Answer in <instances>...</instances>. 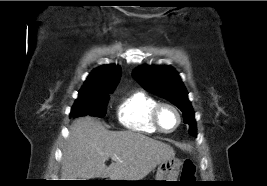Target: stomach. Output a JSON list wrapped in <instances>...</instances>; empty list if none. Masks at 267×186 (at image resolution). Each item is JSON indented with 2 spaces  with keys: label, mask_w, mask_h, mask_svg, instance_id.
Wrapping results in <instances>:
<instances>
[{
  "label": "stomach",
  "mask_w": 267,
  "mask_h": 186,
  "mask_svg": "<svg viewBox=\"0 0 267 186\" xmlns=\"http://www.w3.org/2000/svg\"><path fill=\"white\" fill-rule=\"evenodd\" d=\"M181 161L177 158L171 157L169 159L163 160L157 169L155 180L157 181L154 185L165 186L171 185V182L165 181H177L180 172Z\"/></svg>",
  "instance_id": "1"
}]
</instances>
